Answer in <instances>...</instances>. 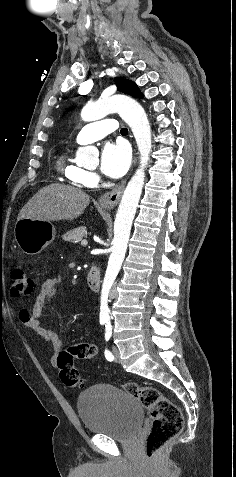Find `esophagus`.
Returning a JSON list of instances; mask_svg holds the SVG:
<instances>
[{"mask_svg": "<svg viewBox=\"0 0 236 477\" xmlns=\"http://www.w3.org/2000/svg\"><path fill=\"white\" fill-rule=\"evenodd\" d=\"M134 164L136 162V156H134ZM126 181L115 186L111 191L105 193L99 198V203L103 208L111 209L118 204L121 195L123 193Z\"/></svg>", "mask_w": 236, "mask_h": 477, "instance_id": "obj_1", "label": "esophagus"}]
</instances>
